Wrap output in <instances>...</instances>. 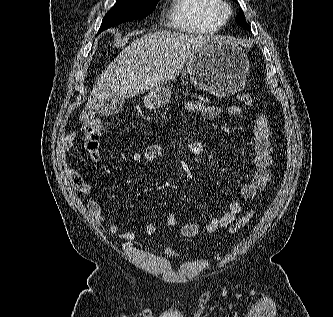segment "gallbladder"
Instances as JSON below:
<instances>
[{
	"instance_id": "gallbladder-1",
	"label": "gallbladder",
	"mask_w": 333,
	"mask_h": 317,
	"mask_svg": "<svg viewBox=\"0 0 333 317\" xmlns=\"http://www.w3.org/2000/svg\"><path fill=\"white\" fill-rule=\"evenodd\" d=\"M124 105V98L113 96L104 100L98 110L100 116H111L118 114Z\"/></svg>"
}]
</instances>
